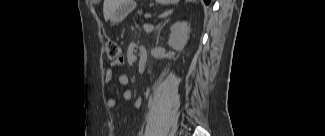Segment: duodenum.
<instances>
[{"label": "duodenum", "instance_id": "1", "mask_svg": "<svg viewBox=\"0 0 325 136\" xmlns=\"http://www.w3.org/2000/svg\"><path fill=\"white\" fill-rule=\"evenodd\" d=\"M147 61H148V49L146 47H141L139 49V59H138V70L140 72L146 69Z\"/></svg>", "mask_w": 325, "mask_h": 136}]
</instances>
